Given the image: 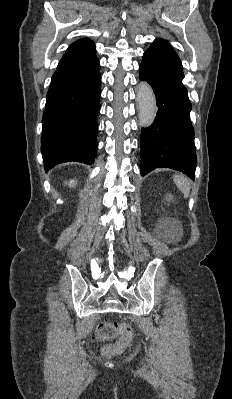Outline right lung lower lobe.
<instances>
[{
    "instance_id": "1",
    "label": "right lung lower lobe",
    "mask_w": 232,
    "mask_h": 399,
    "mask_svg": "<svg viewBox=\"0 0 232 399\" xmlns=\"http://www.w3.org/2000/svg\"><path fill=\"white\" fill-rule=\"evenodd\" d=\"M95 52L65 54L52 76L42 118L46 171L69 161L92 164L97 152L101 76Z\"/></svg>"
}]
</instances>
